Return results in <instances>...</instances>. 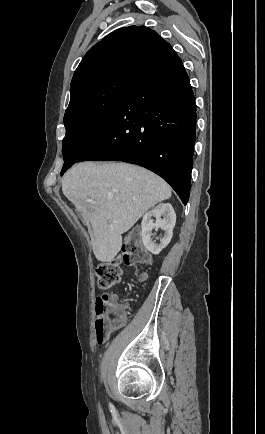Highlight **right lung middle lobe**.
<instances>
[{
  "label": "right lung middle lobe",
  "mask_w": 265,
  "mask_h": 434,
  "mask_svg": "<svg viewBox=\"0 0 265 434\" xmlns=\"http://www.w3.org/2000/svg\"><path fill=\"white\" fill-rule=\"evenodd\" d=\"M135 75H111L71 89L65 112L64 165L70 168L100 137L114 117Z\"/></svg>",
  "instance_id": "right-lung-middle-lobe-1"
}]
</instances>
